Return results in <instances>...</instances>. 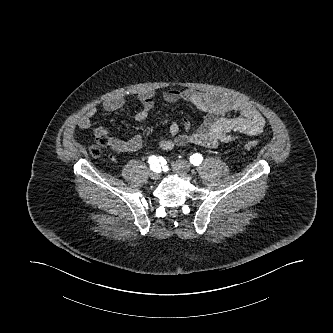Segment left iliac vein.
<instances>
[{
	"label": "left iliac vein",
	"mask_w": 333,
	"mask_h": 333,
	"mask_svg": "<svg viewBox=\"0 0 333 333\" xmlns=\"http://www.w3.org/2000/svg\"><path fill=\"white\" fill-rule=\"evenodd\" d=\"M172 168L179 174H187L190 172V164L182 160L172 162Z\"/></svg>",
	"instance_id": "left-iliac-vein-1"
}]
</instances>
